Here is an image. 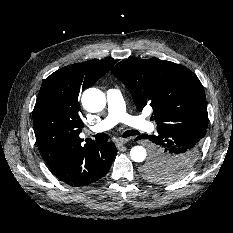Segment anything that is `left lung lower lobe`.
Here are the masks:
<instances>
[{"label": "left lung lower lobe", "instance_id": "1", "mask_svg": "<svg viewBox=\"0 0 233 233\" xmlns=\"http://www.w3.org/2000/svg\"><path fill=\"white\" fill-rule=\"evenodd\" d=\"M138 138L149 139L155 144L152 159L161 161L168 167L161 170L163 174L181 178L178 171L190 169L196 162L203 137L194 129L174 128L158 130L156 135L142 134Z\"/></svg>", "mask_w": 233, "mask_h": 233}]
</instances>
